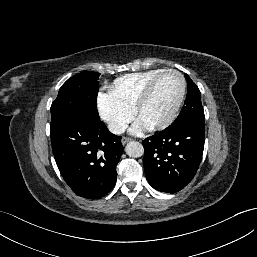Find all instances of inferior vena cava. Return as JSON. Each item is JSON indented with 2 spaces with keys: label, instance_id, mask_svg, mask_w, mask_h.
<instances>
[{
  "label": "inferior vena cava",
  "instance_id": "inferior-vena-cava-1",
  "mask_svg": "<svg viewBox=\"0 0 257 257\" xmlns=\"http://www.w3.org/2000/svg\"><path fill=\"white\" fill-rule=\"evenodd\" d=\"M127 124L125 122L122 121H110L108 123V129L111 133L116 134V135H120L123 132H125V130L127 129Z\"/></svg>",
  "mask_w": 257,
  "mask_h": 257
}]
</instances>
